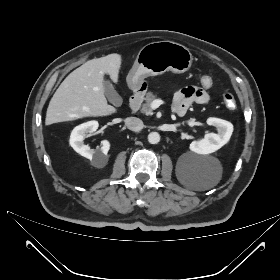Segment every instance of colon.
Wrapping results in <instances>:
<instances>
[{"label": "colon", "mask_w": 280, "mask_h": 280, "mask_svg": "<svg viewBox=\"0 0 280 280\" xmlns=\"http://www.w3.org/2000/svg\"><path fill=\"white\" fill-rule=\"evenodd\" d=\"M198 84L200 86L201 89L203 90H208L211 88L212 86V80L209 76L207 75H202L199 77L198 79ZM222 99H223V103L224 105L230 109V110H233L235 109L236 107V101H235V98L234 96L229 93V92H225L222 96Z\"/></svg>", "instance_id": "colon-1"}]
</instances>
